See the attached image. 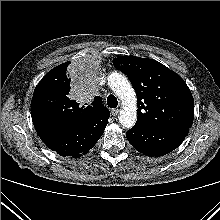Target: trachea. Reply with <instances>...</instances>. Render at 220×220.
I'll return each instance as SVG.
<instances>
[{
	"label": "trachea",
	"instance_id": "1",
	"mask_svg": "<svg viewBox=\"0 0 220 220\" xmlns=\"http://www.w3.org/2000/svg\"><path fill=\"white\" fill-rule=\"evenodd\" d=\"M107 105L110 108H116L118 105L117 98L114 95H109L107 97Z\"/></svg>",
	"mask_w": 220,
	"mask_h": 220
}]
</instances>
